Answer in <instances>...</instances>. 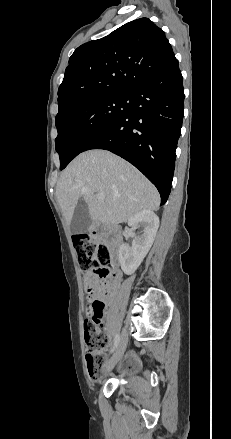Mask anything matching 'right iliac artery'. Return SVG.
I'll return each instance as SVG.
<instances>
[{
  "label": "right iliac artery",
  "mask_w": 231,
  "mask_h": 439,
  "mask_svg": "<svg viewBox=\"0 0 231 439\" xmlns=\"http://www.w3.org/2000/svg\"><path fill=\"white\" fill-rule=\"evenodd\" d=\"M119 341H120V336H119V334H117L116 337H115V340H114V346H113V348L111 349V352H113L114 349L117 347Z\"/></svg>",
  "instance_id": "obj_1"
}]
</instances>
